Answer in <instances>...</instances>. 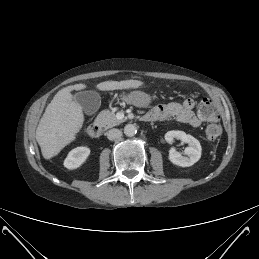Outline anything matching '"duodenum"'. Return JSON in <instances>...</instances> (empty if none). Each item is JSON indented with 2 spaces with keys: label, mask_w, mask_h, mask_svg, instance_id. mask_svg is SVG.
<instances>
[{
  "label": "duodenum",
  "mask_w": 259,
  "mask_h": 259,
  "mask_svg": "<svg viewBox=\"0 0 259 259\" xmlns=\"http://www.w3.org/2000/svg\"><path fill=\"white\" fill-rule=\"evenodd\" d=\"M141 120L144 122H151L153 121V117L149 114H145L141 117ZM102 134V127L99 123H92L89 127H88V135L91 138H99Z\"/></svg>",
  "instance_id": "1"
}]
</instances>
